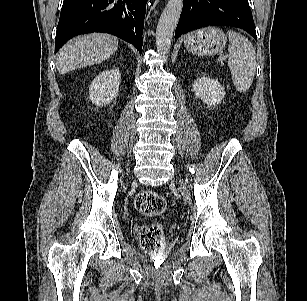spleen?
Listing matches in <instances>:
<instances>
[{
    "label": "spleen",
    "mask_w": 307,
    "mask_h": 301,
    "mask_svg": "<svg viewBox=\"0 0 307 301\" xmlns=\"http://www.w3.org/2000/svg\"><path fill=\"white\" fill-rule=\"evenodd\" d=\"M227 35L229 37L228 67L236 89L244 93L250 88L255 75V49L244 35L233 30H229Z\"/></svg>",
    "instance_id": "3e777b00"
}]
</instances>
